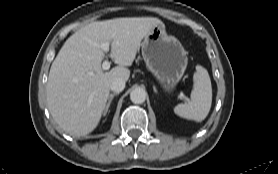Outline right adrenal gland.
Wrapping results in <instances>:
<instances>
[{
	"label": "right adrenal gland",
	"mask_w": 278,
	"mask_h": 174,
	"mask_svg": "<svg viewBox=\"0 0 278 174\" xmlns=\"http://www.w3.org/2000/svg\"><path fill=\"white\" fill-rule=\"evenodd\" d=\"M118 94H119V93H111V94H110L109 99H108V103H107V105H106V107H105V110H104V115L107 114V112H108V110H109V107H110V104H111V102H112L114 96H117Z\"/></svg>",
	"instance_id": "right-adrenal-gland-1"
}]
</instances>
